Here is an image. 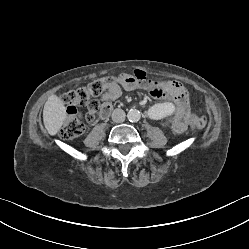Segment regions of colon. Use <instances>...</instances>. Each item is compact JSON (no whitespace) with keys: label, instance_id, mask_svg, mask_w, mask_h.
<instances>
[{"label":"colon","instance_id":"obj_1","mask_svg":"<svg viewBox=\"0 0 249 249\" xmlns=\"http://www.w3.org/2000/svg\"><path fill=\"white\" fill-rule=\"evenodd\" d=\"M119 82L116 77H106L91 82L86 87H78L63 95V102L67 105V116L60 130L63 139H73L81 136L86 130L83 116L77 111L78 105H86L88 120L94 121L95 116L102 110V106L91 97L100 95L105 89ZM196 128L202 129L208 125V118L204 115L196 116L193 120Z\"/></svg>","mask_w":249,"mask_h":249}]
</instances>
